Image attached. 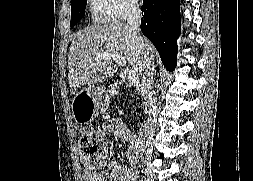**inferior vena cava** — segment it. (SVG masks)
Segmentation results:
<instances>
[{
  "mask_svg": "<svg viewBox=\"0 0 253 181\" xmlns=\"http://www.w3.org/2000/svg\"><path fill=\"white\" fill-rule=\"evenodd\" d=\"M141 10L137 2H131L128 4L126 9V18L127 24L132 28L136 35V42L138 45L139 51L143 54V61L145 67V78L143 80V88L148 94L149 103H150V114L151 120L155 122L158 118L156 99L153 97L152 92V82L153 78L151 77V61L148 53V43L147 41L140 35V24H141ZM153 67V66H152ZM151 127H154L153 122H150ZM153 136V132H150L149 139Z\"/></svg>",
  "mask_w": 253,
  "mask_h": 181,
  "instance_id": "1",
  "label": "inferior vena cava"
}]
</instances>
